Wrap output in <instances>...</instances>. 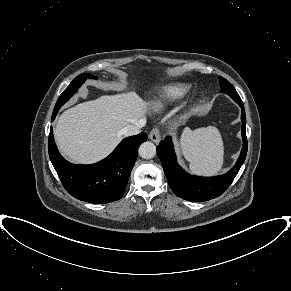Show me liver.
I'll use <instances>...</instances> for the list:
<instances>
[{
  "label": "liver",
  "instance_id": "obj_1",
  "mask_svg": "<svg viewBox=\"0 0 291 291\" xmlns=\"http://www.w3.org/2000/svg\"><path fill=\"white\" fill-rule=\"evenodd\" d=\"M148 105L135 92L104 95L65 110L54 129L61 153L74 163H94L110 154L122 129L142 118Z\"/></svg>",
  "mask_w": 291,
  "mask_h": 291
}]
</instances>
